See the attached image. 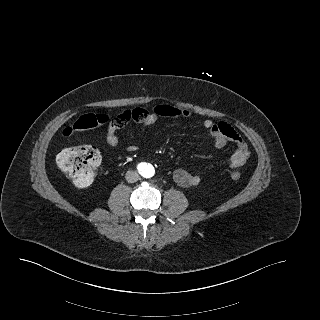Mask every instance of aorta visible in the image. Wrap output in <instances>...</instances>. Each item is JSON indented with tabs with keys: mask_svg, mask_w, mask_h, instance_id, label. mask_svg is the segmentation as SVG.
I'll return each instance as SVG.
<instances>
[{
	"mask_svg": "<svg viewBox=\"0 0 320 320\" xmlns=\"http://www.w3.org/2000/svg\"><path fill=\"white\" fill-rule=\"evenodd\" d=\"M155 170L154 167L152 165L147 166L144 170H143V176L146 178H150L154 175Z\"/></svg>",
	"mask_w": 320,
	"mask_h": 320,
	"instance_id": "obj_1",
	"label": "aorta"
}]
</instances>
